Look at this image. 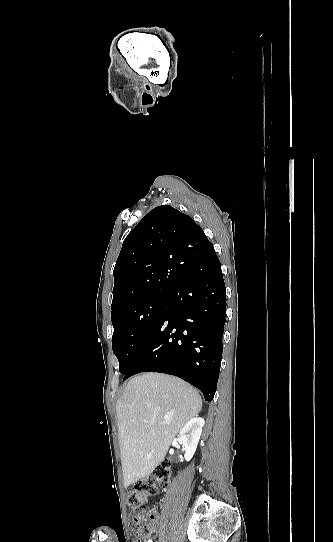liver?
Instances as JSON below:
<instances>
[{"label":"liver","mask_w":333,"mask_h":542,"mask_svg":"<svg viewBox=\"0 0 333 542\" xmlns=\"http://www.w3.org/2000/svg\"><path fill=\"white\" fill-rule=\"evenodd\" d=\"M201 408L198 392L174 376L144 372L130 380L116 404L124 488L154 472Z\"/></svg>","instance_id":"1"}]
</instances>
